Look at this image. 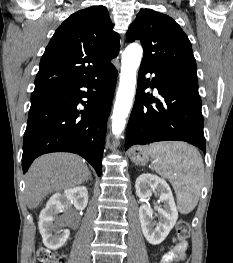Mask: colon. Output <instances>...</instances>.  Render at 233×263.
Masks as SVG:
<instances>
[{"instance_id": "5ec220e1", "label": "colon", "mask_w": 233, "mask_h": 263, "mask_svg": "<svg viewBox=\"0 0 233 263\" xmlns=\"http://www.w3.org/2000/svg\"><path fill=\"white\" fill-rule=\"evenodd\" d=\"M190 235V225L186 220H180L176 226L175 241H184ZM37 259L40 263H63L58 253L46 248L40 247L37 250Z\"/></svg>"}]
</instances>
